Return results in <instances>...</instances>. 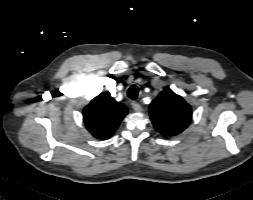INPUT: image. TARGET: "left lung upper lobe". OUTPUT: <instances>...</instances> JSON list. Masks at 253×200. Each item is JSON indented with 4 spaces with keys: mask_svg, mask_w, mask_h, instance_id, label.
Segmentation results:
<instances>
[{
    "mask_svg": "<svg viewBox=\"0 0 253 200\" xmlns=\"http://www.w3.org/2000/svg\"><path fill=\"white\" fill-rule=\"evenodd\" d=\"M154 127L166 136L181 133L190 123L191 107L170 89L163 90L149 107Z\"/></svg>",
    "mask_w": 253,
    "mask_h": 200,
    "instance_id": "5c2ea615",
    "label": "left lung upper lobe"
}]
</instances>
